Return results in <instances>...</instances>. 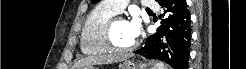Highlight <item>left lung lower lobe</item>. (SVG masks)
Masks as SVG:
<instances>
[{
	"mask_svg": "<svg viewBox=\"0 0 246 69\" xmlns=\"http://www.w3.org/2000/svg\"><path fill=\"white\" fill-rule=\"evenodd\" d=\"M158 3L162 7V25L134 53L164 61L173 69H188L191 28L186 0H161Z\"/></svg>",
	"mask_w": 246,
	"mask_h": 69,
	"instance_id": "obj_1",
	"label": "left lung lower lobe"
}]
</instances>
